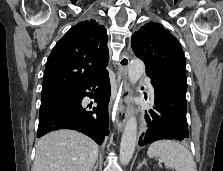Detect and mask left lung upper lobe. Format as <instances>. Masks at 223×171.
<instances>
[{
	"label": "left lung upper lobe",
	"mask_w": 223,
	"mask_h": 171,
	"mask_svg": "<svg viewBox=\"0 0 223 171\" xmlns=\"http://www.w3.org/2000/svg\"><path fill=\"white\" fill-rule=\"evenodd\" d=\"M134 54L142 59L147 76L163 80L186 93L185 56L178 40L159 23L149 22L131 39Z\"/></svg>",
	"instance_id": "left-lung-upper-lobe-1"
}]
</instances>
